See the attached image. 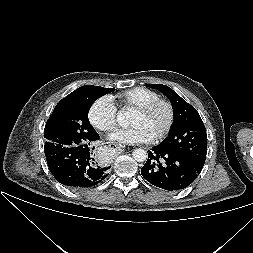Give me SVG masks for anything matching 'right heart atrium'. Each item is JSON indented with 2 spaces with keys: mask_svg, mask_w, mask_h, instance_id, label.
I'll return each instance as SVG.
<instances>
[{
  "mask_svg": "<svg viewBox=\"0 0 253 253\" xmlns=\"http://www.w3.org/2000/svg\"><path fill=\"white\" fill-rule=\"evenodd\" d=\"M118 109L109 95L97 98L88 113L91 124L100 131H111L117 124Z\"/></svg>",
  "mask_w": 253,
  "mask_h": 253,
  "instance_id": "obj_1",
  "label": "right heart atrium"
}]
</instances>
